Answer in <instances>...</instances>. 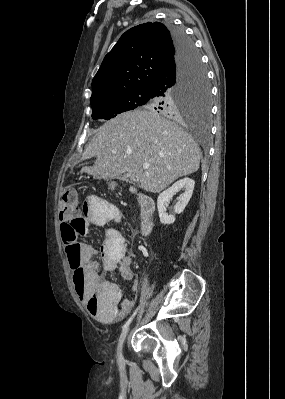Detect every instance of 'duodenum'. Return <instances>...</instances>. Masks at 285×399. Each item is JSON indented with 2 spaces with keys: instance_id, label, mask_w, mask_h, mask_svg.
<instances>
[{
  "instance_id": "duodenum-1",
  "label": "duodenum",
  "mask_w": 285,
  "mask_h": 399,
  "mask_svg": "<svg viewBox=\"0 0 285 399\" xmlns=\"http://www.w3.org/2000/svg\"><path fill=\"white\" fill-rule=\"evenodd\" d=\"M140 203L142 206L141 230L143 234H148L154 223V202L149 197L141 196Z\"/></svg>"
}]
</instances>
